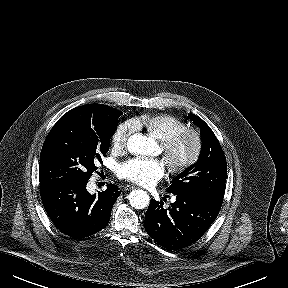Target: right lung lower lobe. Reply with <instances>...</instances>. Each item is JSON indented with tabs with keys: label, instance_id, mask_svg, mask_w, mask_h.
<instances>
[{
	"label": "right lung lower lobe",
	"instance_id": "obj_1",
	"mask_svg": "<svg viewBox=\"0 0 288 288\" xmlns=\"http://www.w3.org/2000/svg\"><path fill=\"white\" fill-rule=\"evenodd\" d=\"M86 183L40 184L44 208L53 224L73 239L91 236L107 226L120 192L113 184L98 195L86 190Z\"/></svg>",
	"mask_w": 288,
	"mask_h": 288
}]
</instances>
